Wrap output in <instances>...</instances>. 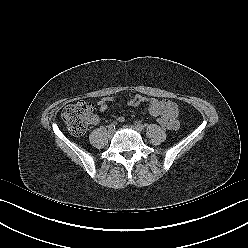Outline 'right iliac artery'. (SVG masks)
<instances>
[{
  "label": "right iliac artery",
  "mask_w": 248,
  "mask_h": 248,
  "mask_svg": "<svg viewBox=\"0 0 248 248\" xmlns=\"http://www.w3.org/2000/svg\"><path fill=\"white\" fill-rule=\"evenodd\" d=\"M116 125H117L116 122L111 123V124L108 126L109 130H114V129L116 128Z\"/></svg>",
  "instance_id": "82829eb1"
}]
</instances>
